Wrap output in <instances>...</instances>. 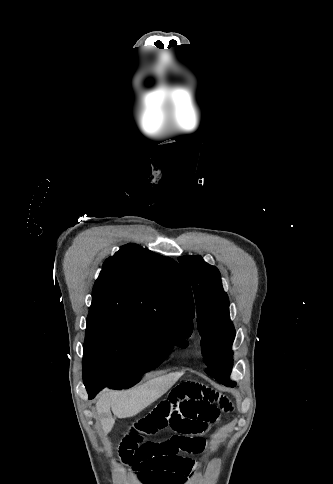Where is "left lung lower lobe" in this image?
I'll list each match as a JSON object with an SVG mask.
<instances>
[{
  "instance_id": "obj_1",
  "label": "left lung lower lobe",
  "mask_w": 333,
  "mask_h": 484,
  "mask_svg": "<svg viewBox=\"0 0 333 484\" xmlns=\"http://www.w3.org/2000/svg\"><path fill=\"white\" fill-rule=\"evenodd\" d=\"M227 386H234V385H229V384H226Z\"/></svg>"
}]
</instances>
